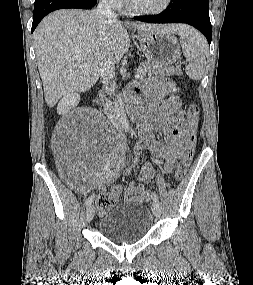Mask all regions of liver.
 <instances>
[{"mask_svg":"<svg viewBox=\"0 0 253 285\" xmlns=\"http://www.w3.org/2000/svg\"><path fill=\"white\" fill-rule=\"evenodd\" d=\"M181 24L110 22L96 10L62 9L46 16L34 32V48L49 107L67 94L85 92L99 79L108 60L119 62L128 51L126 28L139 33L166 31L180 34Z\"/></svg>","mask_w":253,"mask_h":285,"instance_id":"1","label":"liver"}]
</instances>
